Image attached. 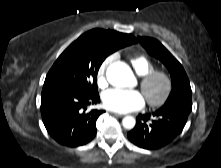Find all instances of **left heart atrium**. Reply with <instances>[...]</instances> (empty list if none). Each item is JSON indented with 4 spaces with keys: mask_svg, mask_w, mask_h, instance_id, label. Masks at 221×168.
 <instances>
[{
    "mask_svg": "<svg viewBox=\"0 0 221 168\" xmlns=\"http://www.w3.org/2000/svg\"><path fill=\"white\" fill-rule=\"evenodd\" d=\"M103 106L113 112L128 113L145 105L143 94L137 90L113 88L102 94Z\"/></svg>",
    "mask_w": 221,
    "mask_h": 168,
    "instance_id": "obj_1",
    "label": "left heart atrium"
}]
</instances>
